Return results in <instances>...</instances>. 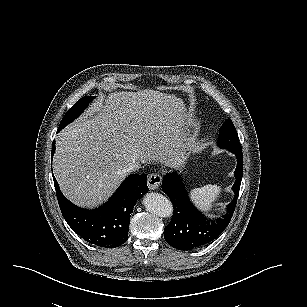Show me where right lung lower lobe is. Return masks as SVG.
Instances as JSON below:
<instances>
[{"label":"right lung lower lobe","mask_w":307,"mask_h":307,"mask_svg":"<svg viewBox=\"0 0 307 307\" xmlns=\"http://www.w3.org/2000/svg\"><path fill=\"white\" fill-rule=\"evenodd\" d=\"M55 142L52 144V157ZM58 203L68 225L91 245L115 248L128 239L130 214L136 201L146 194L147 175H130L120 185L113 196L101 207L87 210L67 200L54 178Z\"/></svg>","instance_id":"98d812e1"}]
</instances>
